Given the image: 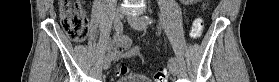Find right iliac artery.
I'll use <instances>...</instances> for the list:
<instances>
[{
  "instance_id": "right-iliac-artery-1",
  "label": "right iliac artery",
  "mask_w": 279,
  "mask_h": 82,
  "mask_svg": "<svg viewBox=\"0 0 279 82\" xmlns=\"http://www.w3.org/2000/svg\"><path fill=\"white\" fill-rule=\"evenodd\" d=\"M114 28H115V32L113 34L114 39L118 38L121 30H122V24L121 22H118L117 20L114 21ZM108 57H110V55H108Z\"/></svg>"
}]
</instances>
